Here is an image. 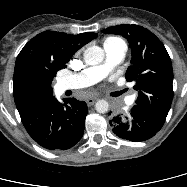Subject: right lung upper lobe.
Returning a JSON list of instances; mask_svg holds the SVG:
<instances>
[{
  "label": "right lung upper lobe",
  "instance_id": "obj_1",
  "mask_svg": "<svg viewBox=\"0 0 187 187\" xmlns=\"http://www.w3.org/2000/svg\"><path fill=\"white\" fill-rule=\"evenodd\" d=\"M97 37L88 32L68 35L57 31H44L32 38L17 56L13 85L14 99L19 114L28 108L52 97L53 91H33L25 82V74L32 68H64L72 55Z\"/></svg>",
  "mask_w": 187,
  "mask_h": 187
}]
</instances>
